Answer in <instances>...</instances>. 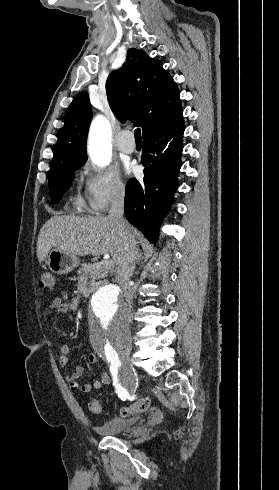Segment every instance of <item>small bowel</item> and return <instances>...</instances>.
<instances>
[{"label":"small bowel","instance_id":"small-bowel-1","mask_svg":"<svg viewBox=\"0 0 279 490\" xmlns=\"http://www.w3.org/2000/svg\"><path fill=\"white\" fill-rule=\"evenodd\" d=\"M48 308L56 311L57 313L64 314L67 313L70 309V305L68 302L63 301L59 297H55L51 300L48 305ZM71 344H61L59 347V364L62 367H65L69 364L70 361V351ZM88 361L93 366H97V357L94 354H90L88 357ZM85 373V369L82 366L76 367L70 374L66 376V381L69 383L70 388L73 391H77L80 393H88L92 390H98L103 385H106L110 382V375L106 370L98 369V379L94 380L92 383L80 384L79 379L83 377Z\"/></svg>","mask_w":279,"mask_h":490}]
</instances>
